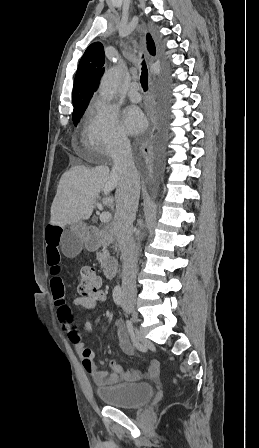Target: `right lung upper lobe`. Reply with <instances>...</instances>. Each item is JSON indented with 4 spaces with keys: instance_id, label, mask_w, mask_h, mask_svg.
I'll return each mask as SVG.
<instances>
[{
    "instance_id": "1",
    "label": "right lung upper lobe",
    "mask_w": 259,
    "mask_h": 448,
    "mask_svg": "<svg viewBox=\"0 0 259 448\" xmlns=\"http://www.w3.org/2000/svg\"><path fill=\"white\" fill-rule=\"evenodd\" d=\"M147 48L151 55H155V44L147 34ZM105 55L100 42L92 43L83 54L73 86L74 110L87 108L88 103L97 90L100 78L104 72Z\"/></svg>"
}]
</instances>
